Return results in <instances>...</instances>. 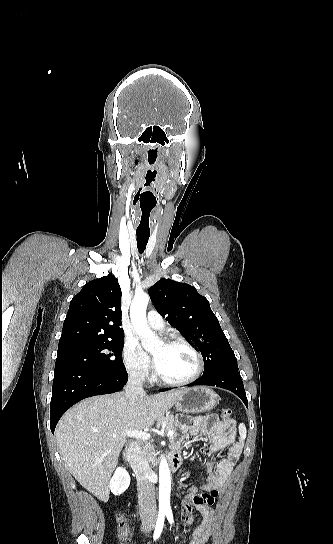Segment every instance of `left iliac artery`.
Here are the masks:
<instances>
[{
  "label": "left iliac artery",
  "mask_w": 333,
  "mask_h": 544,
  "mask_svg": "<svg viewBox=\"0 0 333 544\" xmlns=\"http://www.w3.org/2000/svg\"><path fill=\"white\" fill-rule=\"evenodd\" d=\"M166 516L169 521V523L172 525L174 523L173 514L171 510L166 511Z\"/></svg>",
  "instance_id": "obj_1"
}]
</instances>
